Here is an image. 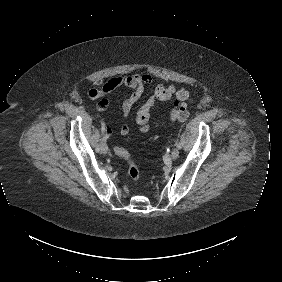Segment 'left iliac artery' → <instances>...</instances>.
<instances>
[{
	"label": "left iliac artery",
	"mask_w": 282,
	"mask_h": 282,
	"mask_svg": "<svg viewBox=\"0 0 282 282\" xmlns=\"http://www.w3.org/2000/svg\"><path fill=\"white\" fill-rule=\"evenodd\" d=\"M177 148L178 149H181L182 148V144L179 142V143H177Z\"/></svg>",
	"instance_id": "left-iliac-artery-1"
}]
</instances>
